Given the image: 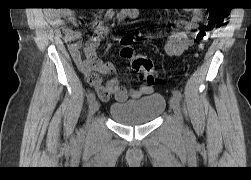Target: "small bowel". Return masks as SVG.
<instances>
[{
    "instance_id": "obj_1",
    "label": "small bowel",
    "mask_w": 251,
    "mask_h": 180,
    "mask_svg": "<svg viewBox=\"0 0 251 180\" xmlns=\"http://www.w3.org/2000/svg\"><path fill=\"white\" fill-rule=\"evenodd\" d=\"M138 16V10L135 8L123 9L117 14L119 21L125 19H134ZM76 21V15L70 11H57L52 14L53 23L60 27L64 33L69 52L84 74L88 84L94 88L99 98L103 101L114 97L118 102H124L128 98L139 99L153 92L152 84L144 83L136 89L127 90L120 85L116 78H109L104 83L101 76L113 72L110 64L102 62L96 55V50L101 40L107 36L110 29L103 23H99L95 29L94 35L86 42L84 47V57L81 56V34L65 24V20ZM202 21V13L194 10L191 19L184 23L181 30H173L167 37L164 45L165 53L170 57L181 56L192 44L190 32L194 30Z\"/></svg>"
}]
</instances>
